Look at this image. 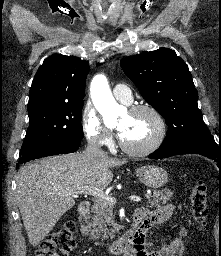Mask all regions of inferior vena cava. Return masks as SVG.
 <instances>
[{
    "mask_svg": "<svg viewBox=\"0 0 221 256\" xmlns=\"http://www.w3.org/2000/svg\"><path fill=\"white\" fill-rule=\"evenodd\" d=\"M85 155L94 158H106L107 154L100 148L98 140L96 138H91L88 141V146L85 150Z\"/></svg>",
    "mask_w": 221,
    "mask_h": 256,
    "instance_id": "inferior-vena-cava-1",
    "label": "inferior vena cava"
}]
</instances>
